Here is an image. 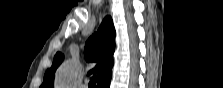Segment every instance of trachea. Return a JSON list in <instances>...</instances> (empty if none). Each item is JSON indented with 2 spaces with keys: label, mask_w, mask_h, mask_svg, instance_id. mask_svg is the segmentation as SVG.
Returning <instances> with one entry per match:
<instances>
[{
  "label": "trachea",
  "mask_w": 223,
  "mask_h": 88,
  "mask_svg": "<svg viewBox=\"0 0 223 88\" xmlns=\"http://www.w3.org/2000/svg\"><path fill=\"white\" fill-rule=\"evenodd\" d=\"M96 81H97L96 76L91 77L89 82V88H95Z\"/></svg>",
  "instance_id": "trachea-1"
}]
</instances>
